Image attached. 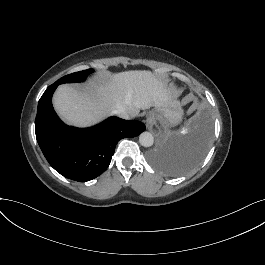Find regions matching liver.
Wrapping results in <instances>:
<instances>
[{
    "mask_svg": "<svg viewBox=\"0 0 265 265\" xmlns=\"http://www.w3.org/2000/svg\"><path fill=\"white\" fill-rule=\"evenodd\" d=\"M90 83L93 91L89 93L67 84L60 85L54 93V108L69 125H93L119 107L125 108L130 118L137 116L140 109L152 106L181 108L180 102L172 100L164 82L151 71L108 72L101 83Z\"/></svg>",
    "mask_w": 265,
    "mask_h": 265,
    "instance_id": "obj_1",
    "label": "liver"
}]
</instances>
